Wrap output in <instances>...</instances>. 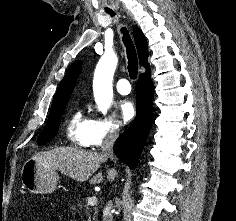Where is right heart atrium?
Instances as JSON below:
<instances>
[{"label": "right heart atrium", "instance_id": "d8ad5b80", "mask_svg": "<svg viewBox=\"0 0 236 221\" xmlns=\"http://www.w3.org/2000/svg\"><path fill=\"white\" fill-rule=\"evenodd\" d=\"M121 123L112 116H95L91 119L88 132V146L100 147L116 139L121 132Z\"/></svg>", "mask_w": 236, "mask_h": 221}]
</instances>
